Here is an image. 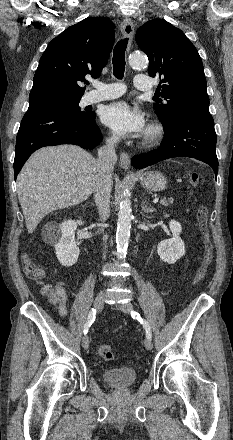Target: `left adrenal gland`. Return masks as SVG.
Returning <instances> with one entry per match:
<instances>
[{
    "label": "left adrenal gland",
    "instance_id": "1",
    "mask_svg": "<svg viewBox=\"0 0 233 440\" xmlns=\"http://www.w3.org/2000/svg\"><path fill=\"white\" fill-rule=\"evenodd\" d=\"M142 209L145 213H150V212L156 211V209H154V208L147 207L146 201H144V200L142 201Z\"/></svg>",
    "mask_w": 233,
    "mask_h": 440
}]
</instances>
